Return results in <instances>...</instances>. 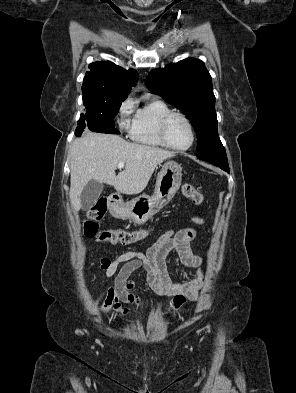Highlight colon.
I'll use <instances>...</instances> for the list:
<instances>
[{
  "mask_svg": "<svg viewBox=\"0 0 296 393\" xmlns=\"http://www.w3.org/2000/svg\"><path fill=\"white\" fill-rule=\"evenodd\" d=\"M182 193L185 197L192 200L194 204L200 205L203 202V196L196 188L185 183L182 186ZM106 200L100 199L88 211L83 223V231L86 237L95 239L100 243L127 245L144 239L148 233L146 230H125V229H100L98 222L106 214Z\"/></svg>",
  "mask_w": 296,
  "mask_h": 393,
  "instance_id": "obj_1",
  "label": "colon"
}]
</instances>
